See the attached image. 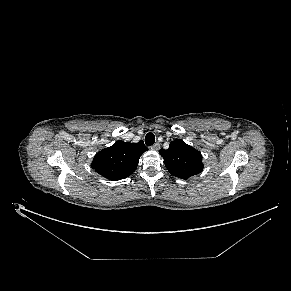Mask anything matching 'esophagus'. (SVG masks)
<instances>
[{
	"instance_id": "1",
	"label": "esophagus",
	"mask_w": 291,
	"mask_h": 291,
	"mask_svg": "<svg viewBox=\"0 0 291 291\" xmlns=\"http://www.w3.org/2000/svg\"><path fill=\"white\" fill-rule=\"evenodd\" d=\"M151 149L159 150L160 149V144L159 143H155L154 145L151 146Z\"/></svg>"
}]
</instances>
